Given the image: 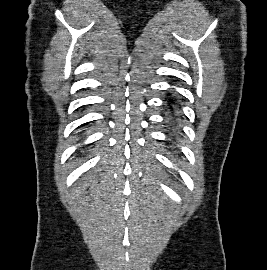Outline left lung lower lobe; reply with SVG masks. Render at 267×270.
<instances>
[{"label": "left lung lower lobe", "mask_w": 267, "mask_h": 270, "mask_svg": "<svg viewBox=\"0 0 267 270\" xmlns=\"http://www.w3.org/2000/svg\"><path fill=\"white\" fill-rule=\"evenodd\" d=\"M165 101L167 102V108L170 112V115L175 120L178 113V103L176 98L173 96L172 93H169L168 98Z\"/></svg>", "instance_id": "1"}]
</instances>
